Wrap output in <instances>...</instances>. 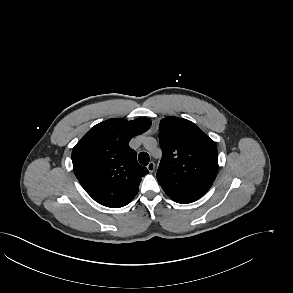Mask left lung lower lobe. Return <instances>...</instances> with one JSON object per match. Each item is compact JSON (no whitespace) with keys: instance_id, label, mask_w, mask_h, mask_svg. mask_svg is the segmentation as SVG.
<instances>
[{"instance_id":"obj_1","label":"left lung lower lobe","mask_w":293,"mask_h":293,"mask_svg":"<svg viewBox=\"0 0 293 293\" xmlns=\"http://www.w3.org/2000/svg\"><path fill=\"white\" fill-rule=\"evenodd\" d=\"M174 201L178 203H183V204L191 203V201H188V200H174Z\"/></svg>"}]
</instances>
